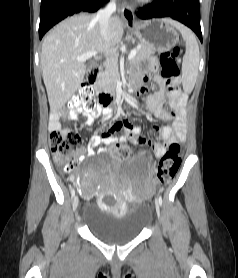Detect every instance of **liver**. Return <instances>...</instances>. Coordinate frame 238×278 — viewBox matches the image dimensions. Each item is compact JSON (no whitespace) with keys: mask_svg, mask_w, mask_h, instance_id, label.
<instances>
[{"mask_svg":"<svg viewBox=\"0 0 238 278\" xmlns=\"http://www.w3.org/2000/svg\"><path fill=\"white\" fill-rule=\"evenodd\" d=\"M122 37L118 17L109 19L102 37L96 17L88 14L67 18L48 33L42 44L41 68L51 112L60 110L83 82L86 65L77 57L89 51H114Z\"/></svg>","mask_w":238,"mask_h":278,"instance_id":"liver-1","label":"liver"}]
</instances>
